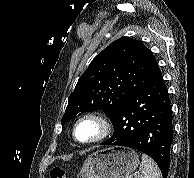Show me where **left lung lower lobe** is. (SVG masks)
I'll return each mask as SVG.
<instances>
[{"label":"left lung lower lobe","instance_id":"left-lung-lower-lobe-1","mask_svg":"<svg viewBox=\"0 0 194 178\" xmlns=\"http://www.w3.org/2000/svg\"><path fill=\"white\" fill-rule=\"evenodd\" d=\"M162 75L126 98L112 113L113 136L101 145L124 146L150 156L167 178L173 137L172 110Z\"/></svg>","mask_w":194,"mask_h":178}]
</instances>
